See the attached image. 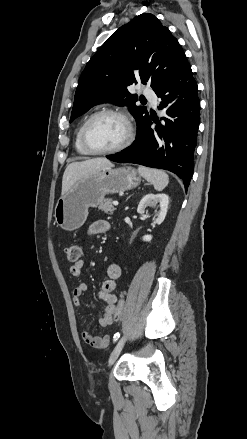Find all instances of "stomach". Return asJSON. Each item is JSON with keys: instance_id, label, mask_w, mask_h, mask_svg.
<instances>
[{"instance_id": "stomach-1", "label": "stomach", "mask_w": 247, "mask_h": 439, "mask_svg": "<svg viewBox=\"0 0 247 439\" xmlns=\"http://www.w3.org/2000/svg\"><path fill=\"white\" fill-rule=\"evenodd\" d=\"M140 182V174L130 166L106 167L81 178L58 199L54 210L55 222L64 230L74 231L86 221L89 207H97L107 194L135 188Z\"/></svg>"}]
</instances>
